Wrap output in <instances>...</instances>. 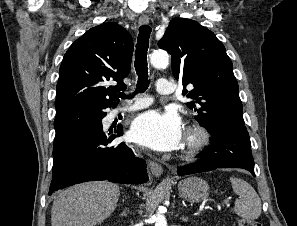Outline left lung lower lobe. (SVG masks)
Here are the masks:
<instances>
[{
  "instance_id": "obj_1",
  "label": "left lung lower lobe",
  "mask_w": 297,
  "mask_h": 226,
  "mask_svg": "<svg viewBox=\"0 0 297 226\" xmlns=\"http://www.w3.org/2000/svg\"><path fill=\"white\" fill-rule=\"evenodd\" d=\"M208 132L211 142L200 154L196 163L179 167V175L211 171L217 168H243L254 173L251 142L246 128L217 125Z\"/></svg>"
}]
</instances>
